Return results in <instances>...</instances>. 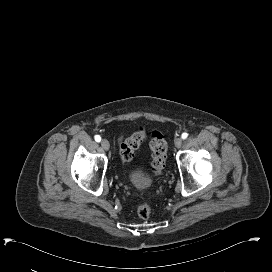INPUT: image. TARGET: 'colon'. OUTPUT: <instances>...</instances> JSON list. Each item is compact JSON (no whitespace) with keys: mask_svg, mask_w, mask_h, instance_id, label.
Listing matches in <instances>:
<instances>
[{"mask_svg":"<svg viewBox=\"0 0 272 272\" xmlns=\"http://www.w3.org/2000/svg\"><path fill=\"white\" fill-rule=\"evenodd\" d=\"M146 138V131L140 129L120 144V153L125 164H129L133 160L135 151ZM150 147L152 151L151 172L153 175H159L165 167L167 157V143L161 132H152ZM151 212L152 207L147 201H141L136 206V213L142 219L148 218Z\"/></svg>","mask_w":272,"mask_h":272,"instance_id":"5ec220e1","label":"colon"}]
</instances>
